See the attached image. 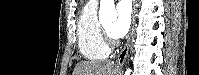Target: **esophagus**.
<instances>
[{"label":"esophagus","instance_id":"esophagus-1","mask_svg":"<svg viewBox=\"0 0 199 75\" xmlns=\"http://www.w3.org/2000/svg\"><path fill=\"white\" fill-rule=\"evenodd\" d=\"M136 10H137V1L133 0L132 25H131V29H130V32L128 35L127 42H126L124 48L122 49V51L117 56L116 64L118 66H122L124 64L127 54H128V51H129L131 39L133 37L134 31H135V26H136Z\"/></svg>","mask_w":199,"mask_h":75}]
</instances>
